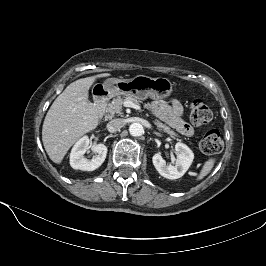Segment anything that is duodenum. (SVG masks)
Listing matches in <instances>:
<instances>
[{
  "instance_id": "410a0bca",
  "label": "duodenum",
  "mask_w": 266,
  "mask_h": 266,
  "mask_svg": "<svg viewBox=\"0 0 266 266\" xmlns=\"http://www.w3.org/2000/svg\"><path fill=\"white\" fill-rule=\"evenodd\" d=\"M109 92L106 89H99L94 94V102L97 108V114L99 117L103 115Z\"/></svg>"
}]
</instances>
